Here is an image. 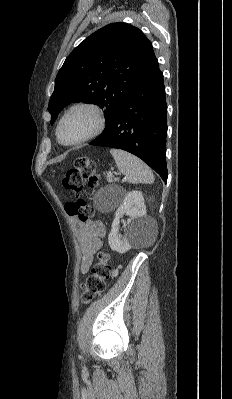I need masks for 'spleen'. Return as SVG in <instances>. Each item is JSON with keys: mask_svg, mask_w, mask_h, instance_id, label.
<instances>
[{"mask_svg": "<svg viewBox=\"0 0 232 399\" xmlns=\"http://www.w3.org/2000/svg\"><path fill=\"white\" fill-rule=\"evenodd\" d=\"M116 166L126 178L129 184H154L155 178L149 166L141 162L136 156L124 152V150H110Z\"/></svg>", "mask_w": 232, "mask_h": 399, "instance_id": "3e777b00", "label": "spleen"}]
</instances>
